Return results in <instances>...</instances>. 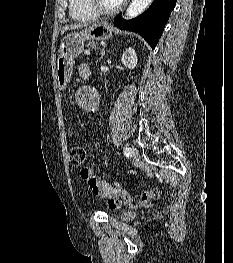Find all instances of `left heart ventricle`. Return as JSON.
I'll list each match as a JSON object with an SVG mask.
<instances>
[{"label":"left heart ventricle","mask_w":233,"mask_h":263,"mask_svg":"<svg viewBox=\"0 0 233 263\" xmlns=\"http://www.w3.org/2000/svg\"><path fill=\"white\" fill-rule=\"evenodd\" d=\"M99 5L104 9H112L116 7L120 0H97Z\"/></svg>","instance_id":"b2bd125f"}]
</instances>
